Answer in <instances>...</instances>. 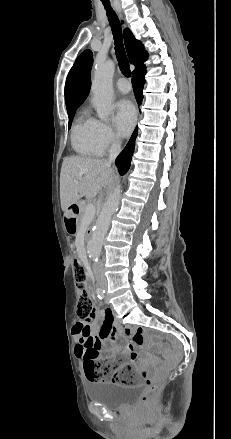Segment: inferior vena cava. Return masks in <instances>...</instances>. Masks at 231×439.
<instances>
[{"mask_svg":"<svg viewBox=\"0 0 231 439\" xmlns=\"http://www.w3.org/2000/svg\"><path fill=\"white\" fill-rule=\"evenodd\" d=\"M121 151V142L118 139H114L109 151V159H108V163L111 164L112 162L115 161L116 157L118 156V154ZM102 268H103V262L100 261L98 263H96L94 265V273L98 274V275H102Z\"/></svg>","mask_w":231,"mask_h":439,"instance_id":"inferior-vena-cava-1","label":"inferior vena cava"}]
</instances>
